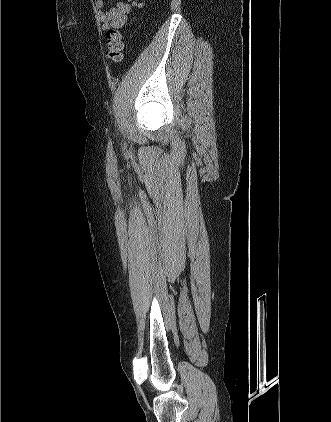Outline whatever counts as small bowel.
Here are the masks:
<instances>
[{"instance_id": "obj_1", "label": "small bowel", "mask_w": 331, "mask_h": 422, "mask_svg": "<svg viewBox=\"0 0 331 422\" xmlns=\"http://www.w3.org/2000/svg\"><path fill=\"white\" fill-rule=\"evenodd\" d=\"M145 0H125L117 2L114 7L109 10L105 9L104 0H96L95 7L97 9L98 20L103 30L111 28H119L123 26L134 8H141Z\"/></svg>"}]
</instances>
